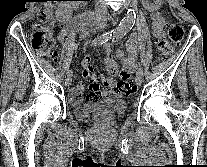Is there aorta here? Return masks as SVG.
Masks as SVG:
<instances>
[{
	"mask_svg": "<svg viewBox=\"0 0 207 167\" xmlns=\"http://www.w3.org/2000/svg\"><path fill=\"white\" fill-rule=\"evenodd\" d=\"M135 23V15L134 13L128 12L126 17L121 21L119 27L116 29V32L119 34H124L129 31Z\"/></svg>",
	"mask_w": 207,
	"mask_h": 167,
	"instance_id": "aorta-1",
	"label": "aorta"
}]
</instances>
